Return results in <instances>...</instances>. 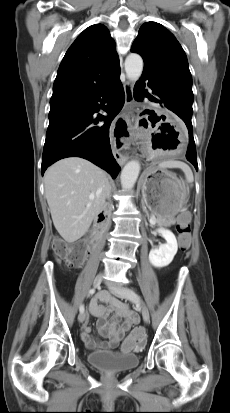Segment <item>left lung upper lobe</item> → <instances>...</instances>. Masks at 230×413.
Here are the masks:
<instances>
[{
  "mask_svg": "<svg viewBox=\"0 0 230 413\" xmlns=\"http://www.w3.org/2000/svg\"><path fill=\"white\" fill-rule=\"evenodd\" d=\"M131 52L142 56V76L152 82L159 99L180 106L192 116V76L186 54L173 34L157 22H145Z\"/></svg>",
  "mask_w": 230,
  "mask_h": 413,
  "instance_id": "5c2ea615",
  "label": "left lung upper lobe"
}]
</instances>
